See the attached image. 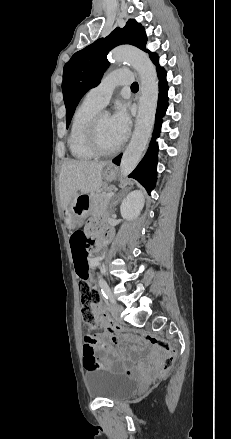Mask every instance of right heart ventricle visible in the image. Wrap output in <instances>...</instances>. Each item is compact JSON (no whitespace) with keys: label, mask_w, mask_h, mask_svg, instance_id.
Segmentation results:
<instances>
[{"label":"right heart ventricle","mask_w":231,"mask_h":439,"mask_svg":"<svg viewBox=\"0 0 231 439\" xmlns=\"http://www.w3.org/2000/svg\"><path fill=\"white\" fill-rule=\"evenodd\" d=\"M100 109V106L84 99L73 114L67 144L71 155L78 160H90L95 157L87 143L86 130L91 118Z\"/></svg>","instance_id":"right-heart-ventricle-1"}]
</instances>
